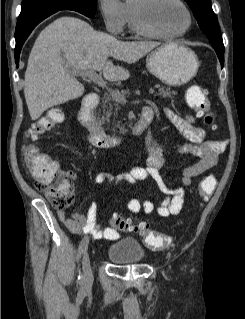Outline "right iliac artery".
<instances>
[{"label":"right iliac artery","instance_id":"obj_1","mask_svg":"<svg viewBox=\"0 0 245 319\" xmlns=\"http://www.w3.org/2000/svg\"><path fill=\"white\" fill-rule=\"evenodd\" d=\"M84 251H85V245L82 244V243H80L78 256L81 257V255L83 254ZM78 281H79L80 284L83 283V276L80 275V274H79V276H78Z\"/></svg>","mask_w":245,"mask_h":319}]
</instances>
